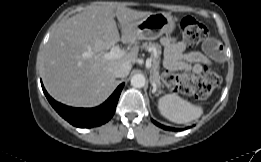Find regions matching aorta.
I'll list each match as a JSON object with an SVG mask.
<instances>
[{
  "label": "aorta",
  "mask_w": 261,
  "mask_h": 162,
  "mask_svg": "<svg viewBox=\"0 0 261 162\" xmlns=\"http://www.w3.org/2000/svg\"><path fill=\"white\" fill-rule=\"evenodd\" d=\"M146 83L145 76L142 74H135L131 78V85L135 88H142Z\"/></svg>",
  "instance_id": "obj_1"
}]
</instances>
